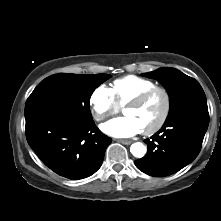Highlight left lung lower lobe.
<instances>
[{"mask_svg":"<svg viewBox=\"0 0 221 221\" xmlns=\"http://www.w3.org/2000/svg\"><path fill=\"white\" fill-rule=\"evenodd\" d=\"M208 124L207 101L182 107L167 117L151 139H145L147 154L135 161L136 167L155 177L181 170L199 154Z\"/></svg>","mask_w":221,"mask_h":221,"instance_id":"left-lung-lower-lobe-1","label":"left lung lower lobe"}]
</instances>
